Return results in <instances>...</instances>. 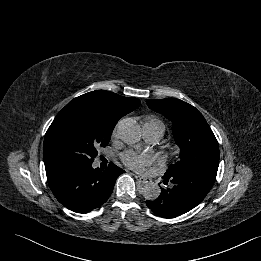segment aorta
I'll list each match as a JSON object with an SVG mask.
<instances>
[{
  "label": "aorta",
  "mask_w": 261,
  "mask_h": 261,
  "mask_svg": "<svg viewBox=\"0 0 261 261\" xmlns=\"http://www.w3.org/2000/svg\"><path fill=\"white\" fill-rule=\"evenodd\" d=\"M118 135L128 145H136L141 140V127L135 120L126 118L119 123ZM160 193V187L154 182H147L142 188V194L147 200L157 199Z\"/></svg>",
  "instance_id": "obj_1"
}]
</instances>
